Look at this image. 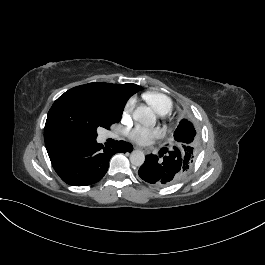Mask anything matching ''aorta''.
I'll return each mask as SVG.
<instances>
[{
    "mask_svg": "<svg viewBox=\"0 0 265 265\" xmlns=\"http://www.w3.org/2000/svg\"><path fill=\"white\" fill-rule=\"evenodd\" d=\"M133 118L139 123L151 127L156 124V116L153 110L147 106H140L135 109ZM145 161V155L142 151L135 150L130 155V162L134 166H141Z\"/></svg>",
    "mask_w": 265,
    "mask_h": 265,
    "instance_id": "obj_1",
    "label": "aorta"
}]
</instances>
